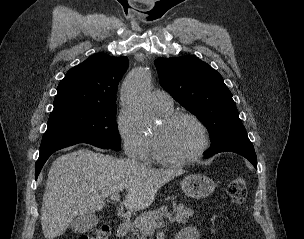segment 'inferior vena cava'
<instances>
[{"label":"inferior vena cava","mask_w":304,"mask_h":239,"mask_svg":"<svg viewBox=\"0 0 304 239\" xmlns=\"http://www.w3.org/2000/svg\"><path fill=\"white\" fill-rule=\"evenodd\" d=\"M129 159L132 161V163H133L134 165H140L139 162H138L135 158L129 157Z\"/></svg>","instance_id":"1"}]
</instances>
